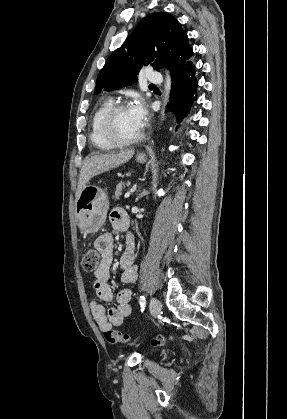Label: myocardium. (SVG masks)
<instances>
[{
    "mask_svg": "<svg viewBox=\"0 0 287 419\" xmlns=\"http://www.w3.org/2000/svg\"><path fill=\"white\" fill-rule=\"evenodd\" d=\"M125 108H127L126 103H115L106 111L101 120L102 134L105 136L107 140H109L111 143L117 146L135 144L141 141L144 137L143 130L138 135L131 138H124L117 133L115 128V119L117 114Z\"/></svg>",
    "mask_w": 287,
    "mask_h": 419,
    "instance_id": "1",
    "label": "myocardium"
}]
</instances>
